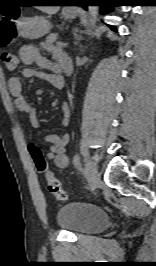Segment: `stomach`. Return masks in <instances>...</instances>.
Returning a JSON list of instances; mask_svg holds the SVG:
<instances>
[{
  "mask_svg": "<svg viewBox=\"0 0 156 266\" xmlns=\"http://www.w3.org/2000/svg\"><path fill=\"white\" fill-rule=\"evenodd\" d=\"M63 16L65 18H74L76 12L73 10L63 11ZM51 29L50 22L44 17L36 18H22L18 22V31L20 35L29 39H38L49 33Z\"/></svg>",
  "mask_w": 156,
  "mask_h": 266,
  "instance_id": "obj_1",
  "label": "stomach"
}]
</instances>
